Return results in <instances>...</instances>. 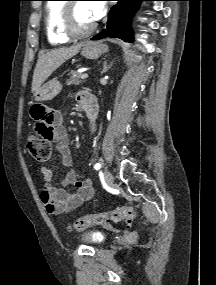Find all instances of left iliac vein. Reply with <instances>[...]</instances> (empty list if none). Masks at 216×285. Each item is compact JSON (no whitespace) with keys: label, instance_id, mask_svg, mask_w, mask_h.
<instances>
[{"label":"left iliac vein","instance_id":"4c4485c4","mask_svg":"<svg viewBox=\"0 0 216 285\" xmlns=\"http://www.w3.org/2000/svg\"><path fill=\"white\" fill-rule=\"evenodd\" d=\"M104 178H105V182L107 183V185L112 187L114 184V177H113L112 173L108 170H105Z\"/></svg>","mask_w":216,"mask_h":285}]
</instances>
